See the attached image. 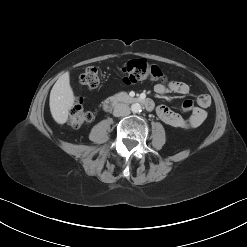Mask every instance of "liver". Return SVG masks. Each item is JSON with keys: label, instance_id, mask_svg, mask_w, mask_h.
I'll use <instances>...</instances> for the list:
<instances>
[{"label": "liver", "instance_id": "obj_1", "mask_svg": "<svg viewBox=\"0 0 247 247\" xmlns=\"http://www.w3.org/2000/svg\"><path fill=\"white\" fill-rule=\"evenodd\" d=\"M74 100L75 97L70 86L69 73L66 72L56 81L50 92V111L53 119L58 124L66 123Z\"/></svg>", "mask_w": 247, "mask_h": 247}]
</instances>
